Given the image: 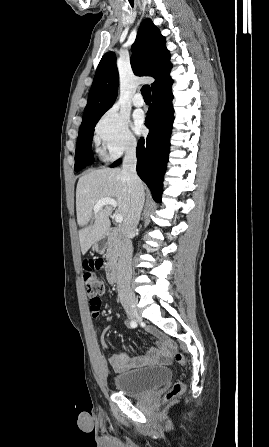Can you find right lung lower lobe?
Returning <instances> with one entry per match:
<instances>
[{
  "label": "right lung lower lobe",
  "mask_w": 269,
  "mask_h": 447,
  "mask_svg": "<svg viewBox=\"0 0 269 447\" xmlns=\"http://www.w3.org/2000/svg\"><path fill=\"white\" fill-rule=\"evenodd\" d=\"M173 80L169 74L163 76L152 86L153 103L147 112L145 125L149 129L146 139L141 138L137 145V172L150 188L155 201H161L163 177L168 162L170 134L172 130ZM121 163L117 160L111 167Z\"/></svg>",
  "instance_id": "obj_1"
}]
</instances>
